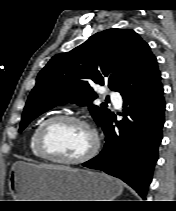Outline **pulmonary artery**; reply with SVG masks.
Instances as JSON below:
<instances>
[{
    "mask_svg": "<svg viewBox=\"0 0 176 211\" xmlns=\"http://www.w3.org/2000/svg\"><path fill=\"white\" fill-rule=\"evenodd\" d=\"M110 97L113 101V103L117 106V107H120L122 105V99L121 97L117 94V93H111L110 94Z\"/></svg>",
    "mask_w": 176,
    "mask_h": 211,
    "instance_id": "pulmonary-artery-1",
    "label": "pulmonary artery"
}]
</instances>
